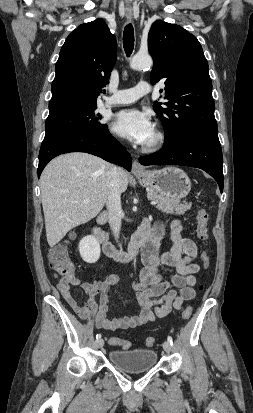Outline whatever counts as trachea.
<instances>
[{
  "label": "trachea",
  "mask_w": 253,
  "mask_h": 413,
  "mask_svg": "<svg viewBox=\"0 0 253 413\" xmlns=\"http://www.w3.org/2000/svg\"><path fill=\"white\" fill-rule=\"evenodd\" d=\"M123 47L125 53L129 56L134 48V29L132 24H128L124 28L123 32Z\"/></svg>",
  "instance_id": "1"
}]
</instances>
